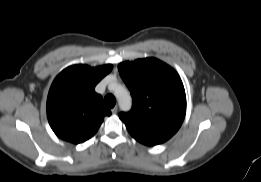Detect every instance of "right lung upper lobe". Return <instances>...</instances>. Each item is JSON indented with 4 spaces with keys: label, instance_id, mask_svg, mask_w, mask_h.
Masks as SVG:
<instances>
[{
    "label": "right lung upper lobe",
    "instance_id": "right-lung-upper-lobe-1",
    "mask_svg": "<svg viewBox=\"0 0 261 182\" xmlns=\"http://www.w3.org/2000/svg\"><path fill=\"white\" fill-rule=\"evenodd\" d=\"M112 67L72 65L54 79L47 98V117L59 138L74 144L84 142L98 131L104 117L111 115L95 86Z\"/></svg>",
    "mask_w": 261,
    "mask_h": 182
}]
</instances>
